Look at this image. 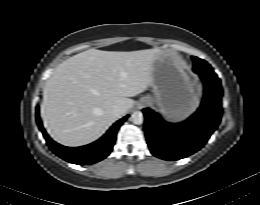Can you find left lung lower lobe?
Wrapping results in <instances>:
<instances>
[{
	"instance_id": "left-lung-lower-lobe-1",
	"label": "left lung lower lobe",
	"mask_w": 260,
	"mask_h": 205,
	"mask_svg": "<svg viewBox=\"0 0 260 205\" xmlns=\"http://www.w3.org/2000/svg\"><path fill=\"white\" fill-rule=\"evenodd\" d=\"M204 83L200 108L188 120L171 124L149 108L143 109L145 130L151 153L164 160H178L201 149L221 120L222 88L215 73L196 70Z\"/></svg>"
}]
</instances>
